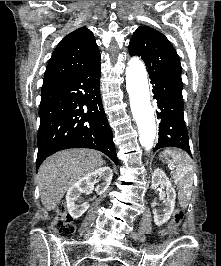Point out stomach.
I'll return each instance as SVG.
<instances>
[{
	"label": "stomach",
	"instance_id": "obj_1",
	"mask_svg": "<svg viewBox=\"0 0 221 266\" xmlns=\"http://www.w3.org/2000/svg\"><path fill=\"white\" fill-rule=\"evenodd\" d=\"M159 157H160V160H161L163 163H166V164H168V165H170V166L175 165V162L172 160L173 158L171 157L170 154H168V153L166 152V150H165L164 152H162V153L160 154Z\"/></svg>",
	"mask_w": 221,
	"mask_h": 266
}]
</instances>
